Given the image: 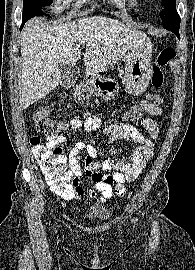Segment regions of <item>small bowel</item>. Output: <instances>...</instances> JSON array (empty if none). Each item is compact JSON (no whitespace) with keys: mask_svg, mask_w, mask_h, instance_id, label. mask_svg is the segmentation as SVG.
<instances>
[{"mask_svg":"<svg viewBox=\"0 0 195 270\" xmlns=\"http://www.w3.org/2000/svg\"><path fill=\"white\" fill-rule=\"evenodd\" d=\"M151 115H161L163 110L161 106L146 112ZM141 126L148 132L149 137H145L132 125L119 122H110L102 130L103 136L109 143L117 140L132 141L133 150L127 160H114L107 158L102 162H96V149L93 145L83 141H78L69 152L68 173L72 178V189L69 193L61 195L66 200H75L84 194V177L94 186V189L88 190L90 199L96 198V191L101 193L98 202L104 203L111 199L115 194L122 197L126 193L125 181H134L146 167L148 161L154 154V141L159 135V127L155 120L145 116L140 120ZM70 125L74 129L84 130L91 133L99 129L102 125V119L97 115H87L84 120L79 117L70 119ZM65 140L63 134L49 138L50 145L61 144ZM86 153L85 170L81 168V155ZM111 172L112 174H104ZM114 186V187H113Z\"/></svg>","mask_w":195,"mask_h":270,"instance_id":"1","label":"small bowel"}]
</instances>
